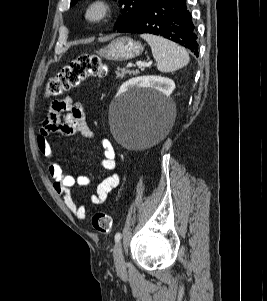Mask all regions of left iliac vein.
Masks as SVG:
<instances>
[{"label": "left iliac vein", "mask_w": 267, "mask_h": 301, "mask_svg": "<svg viewBox=\"0 0 267 301\" xmlns=\"http://www.w3.org/2000/svg\"><path fill=\"white\" fill-rule=\"evenodd\" d=\"M113 256H114V263H115V267H116L117 271L118 272L125 271L126 266H125V260H124V256H123L121 242L116 243V245L114 247Z\"/></svg>", "instance_id": "1"}]
</instances>
